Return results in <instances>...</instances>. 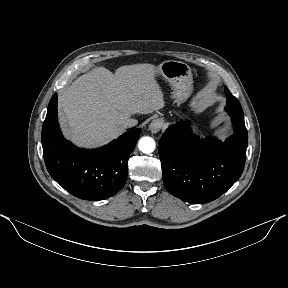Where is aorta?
Here are the masks:
<instances>
[{"label": "aorta", "mask_w": 288, "mask_h": 288, "mask_svg": "<svg viewBox=\"0 0 288 288\" xmlns=\"http://www.w3.org/2000/svg\"><path fill=\"white\" fill-rule=\"evenodd\" d=\"M138 147L142 153H152L155 149V141L151 137H143L139 140Z\"/></svg>", "instance_id": "aorta-1"}]
</instances>
